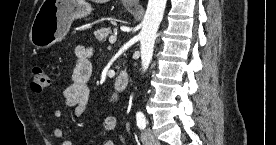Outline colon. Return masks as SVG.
<instances>
[{
    "label": "colon",
    "mask_w": 276,
    "mask_h": 145,
    "mask_svg": "<svg viewBox=\"0 0 276 145\" xmlns=\"http://www.w3.org/2000/svg\"><path fill=\"white\" fill-rule=\"evenodd\" d=\"M31 87L35 92H42L50 86V79L45 70L34 66L30 71Z\"/></svg>",
    "instance_id": "5ec220e1"
}]
</instances>
